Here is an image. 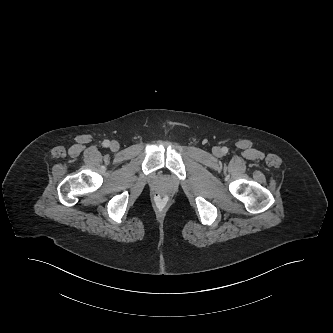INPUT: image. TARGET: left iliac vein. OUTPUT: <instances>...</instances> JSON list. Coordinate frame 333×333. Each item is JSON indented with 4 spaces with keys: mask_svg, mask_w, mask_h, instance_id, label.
I'll use <instances>...</instances> for the list:
<instances>
[{
    "mask_svg": "<svg viewBox=\"0 0 333 333\" xmlns=\"http://www.w3.org/2000/svg\"><path fill=\"white\" fill-rule=\"evenodd\" d=\"M214 153H215L216 155H219V154H220V149H219V148H215Z\"/></svg>",
    "mask_w": 333,
    "mask_h": 333,
    "instance_id": "obj_1",
    "label": "left iliac vein"
}]
</instances>
